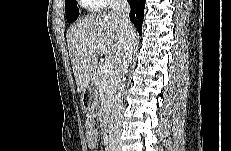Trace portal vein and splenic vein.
Masks as SVG:
<instances>
[{"label": "portal vein and splenic vein", "mask_w": 231, "mask_h": 151, "mask_svg": "<svg viewBox=\"0 0 231 151\" xmlns=\"http://www.w3.org/2000/svg\"><path fill=\"white\" fill-rule=\"evenodd\" d=\"M97 48L100 49L102 52L106 51V48L102 44H98ZM101 71L104 74L111 73L113 71V65L111 64V62H105L101 68Z\"/></svg>", "instance_id": "portal-vein-and-splenic-vein-1"}]
</instances>
